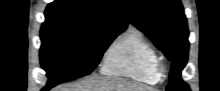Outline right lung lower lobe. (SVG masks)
<instances>
[{
  "instance_id": "right-lung-lower-lobe-1",
  "label": "right lung lower lobe",
  "mask_w": 220,
  "mask_h": 91,
  "mask_svg": "<svg viewBox=\"0 0 220 91\" xmlns=\"http://www.w3.org/2000/svg\"><path fill=\"white\" fill-rule=\"evenodd\" d=\"M43 90H48V88H47V87H45Z\"/></svg>"
}]
</instances>
